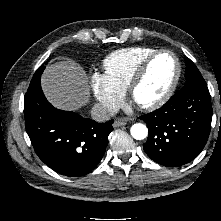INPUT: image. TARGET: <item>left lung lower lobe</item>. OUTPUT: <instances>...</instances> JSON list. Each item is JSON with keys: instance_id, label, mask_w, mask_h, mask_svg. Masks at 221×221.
I'll use <instances>...</instances> for the list:
<instances>
[{"instance_id": "0a47b994", "label": "left lung lower lobe", "mask_w": 221, "mask_h": 221, "mask_svg": "<svg viewBox=\"0 0 221 221\" xmlns=\"http://www.w3.org/2000/svg\"><path fill=\"white\" fill-rule=\"evenodd\" d=\"M149 129L143 144L155 162L177 167L204 148L211 128L212 106L206 85L183 88L161 108L139 117Z\"/></svg>"}]
</instances>
